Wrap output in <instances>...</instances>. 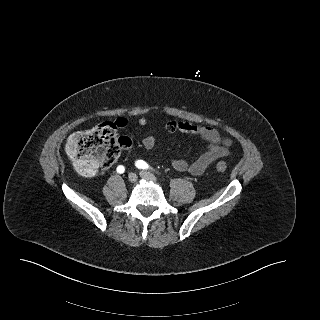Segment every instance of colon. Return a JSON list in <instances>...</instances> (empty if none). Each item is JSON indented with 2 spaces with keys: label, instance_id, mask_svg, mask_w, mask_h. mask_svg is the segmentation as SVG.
<instances>
[{
  "label": "colon",
  "instance_id": "5ec220e1",
  "mask_svg": "<svg viewBox=\"0 0 320 320\" xmlns=\"http://www.w3.org/2000/svg\"><path fill=\"white\" fill-rule=\"evenodd\" d=\"M131 139L117 136L116 126L111 122H102L89 130L75 132L69 136L66 150L74 167L83 175L92 176L99 169H107L116 161L120 149L131 146ZM227 165L223 161L216 164V170L225 172Z\"/></svg>",
  "mask_w": 320,
  "mask_h": 320
}]
</instances>
